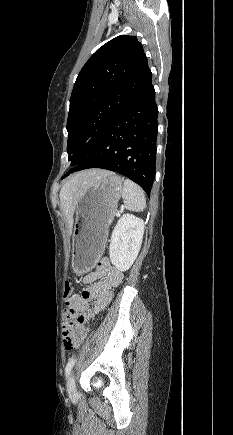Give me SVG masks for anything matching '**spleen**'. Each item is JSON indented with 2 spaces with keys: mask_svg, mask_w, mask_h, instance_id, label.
<instances>
[{
  "mask_svg": "<svg viewBox=\"0 0 233 435\" xmlns=\"http://www.w3.org/2000/svg\"><path fill=\"white\" fill-rule=\"evenodd\" d=\"M122 198L126 201L125 208L130 211H143L146 205L142 188L132 180L126 179L122 191Z\"/></svg>",
  "mask_w": 233,
  "mask_h": 435,
  "instance_id": "3e777b00",
  "label": "spleen"
}]
</instances>
